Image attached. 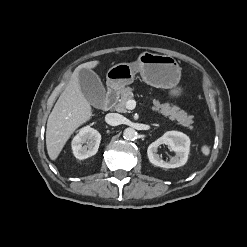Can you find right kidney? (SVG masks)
Returning <instances> with one entry per match:
<instances>
[{
  "mask_svg": "<svg viewBox=\"0 0 247 247\" xmlns=\"http://www.w3.org/2000/svg\"><path fill=\"white\" fill-rule=\"evenodd\" d=\"M101 141L100 133L89 125L83 127L72 140L74 156L83 160L95 155Z\"/></svg>",
  "mask_w": 247,
  "mask_h": 247,
  "instance_id": "1",
  "label": "right kidney"
}]
</instances>
